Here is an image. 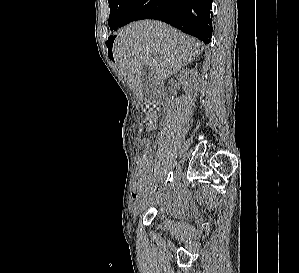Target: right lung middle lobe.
Instances as JSON below:
<instances>
[{
  "label": "right lung middle lobe",
  "instance_id": "right-lung-middle-lobe-1",
  "mask_svg": "<svg viewBox=\"0 0 299 273\" xmlns=\"http://www.w3.org/2000/svg\"><path fill=\"white\" fill-rule=\"evenodd\" d=\"M134 0H108L110 7L109 26L111 30H117L120 23Z\"/></svg>",
  "mask_w": 299,
  "mask_h": 273
}]
</instances>
